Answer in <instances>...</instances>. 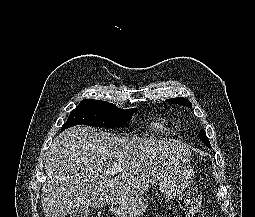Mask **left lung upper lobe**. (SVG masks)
Listing matches in <instances>:
<instances>
[{
    "mask_svg": "<svg viewBox=\"0 0 255 217\" xmlns=\"http://www.w3.org/2000/svg\"><path fill=\"white\" fill-rule=\"evenodd\" d=\"M166 101L169 103H175V104H180V105H184L187 107H192L191 102L186 98H172V99H168ZM199 138L204 144H206L208 147H211L209 139L207 138L204 130L200 131Z\"/></svg>",
    "mask_w": 255,
    "mask_h": 217,
    "instance_id": "1",
    "label": "left lung upper lobe"
}]
</instances>
